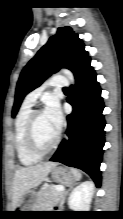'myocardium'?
<instances>
[{"instance_id": "f54148a6", "label": "myocardium", "mask_w": 123, "mask_h": 219, "mask_svg": "<svg viewBox=\"0 0 123 219\" xmlns=\"http://www.w3.org/2000/svg\"><path fill=\"white\" fill-rule=\"evenodd\" d=\"M41 113H43L42 110H39V109L33 110L28 118L27 126H26L27 147L33 155L39 158L44 157L48 155L49 153H51L58 146L61 140V133L60 131H58L56 138L47 148H43L38 144L36 136H35V122H36L38 115Z\"/></svg>"}]
</instances>
